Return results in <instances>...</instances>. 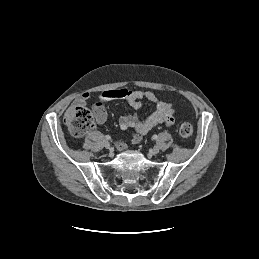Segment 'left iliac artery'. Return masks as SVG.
<instances>
[{
    "label": "left iliac artery",
    "instance_id": "44dca946",
    "mask_svg": "<svg viewBox=\"0 0 259 259\" xmlns=\"http://www.w3.org/2000/svg\"><path fill=\"white\" fill-rule=\"evenodd\" d=\"M157 138H158L157 135H153V136H152V139H154V140H156Z\"/></svg>",
    "mask_w": 259,
    "mask_h": 259
}]
</instances>
